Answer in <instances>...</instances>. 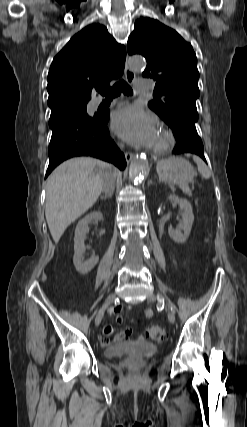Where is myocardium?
I'll return each instance as SVG.
<instances>
[{
    "instance_id": "1",
    "label": "myocardium",
    "mask_w": 247,
    "mask_h": 427,
    "mask_svg": "<svg viewBox=\"0 0 247 427\" xmlns=\"http://www.w3.org/2000/svg\"><path fill=\"white\" fill-rule=\"evenodd\" d=\"M160 140L155 143L152 147V152L156 155H161L169 151L174 144V137L172 133L166 129L161 128L159 130Z\"/></svg>"
}]
</instances>
